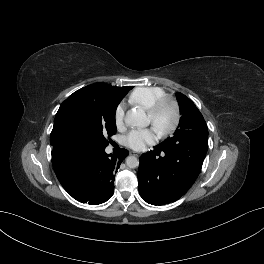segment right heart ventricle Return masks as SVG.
Instances as JSON below:
<instances>
[{
	"label": "right heart ventricle",
	"instance_id": "e07e8e85",
	"mask_svg": "<svg viewBox=\"0 0 264 264\" xmlns=\"http://www.w3.org/2000/svg\"><path fill=\"white\" fill-rule=\"evenodd\" d=\"M165 95L166 92L161 87H138L130 93L128 96V102L148 110L158 99Z\"/></svg>",
	"mask_w": 264,
	"mask_h": 264
}]
</instances>
